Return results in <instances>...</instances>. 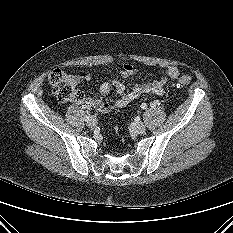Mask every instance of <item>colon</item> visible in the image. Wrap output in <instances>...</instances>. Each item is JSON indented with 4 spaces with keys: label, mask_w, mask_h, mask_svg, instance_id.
I'll list each match as a JSON object with an SVG mask.
<instances>
[{
    "label": "colon",
    "mask_w": 233,
    "mask_h": 233,
    "mask_svg": "<svg viewBox=\"0 0 233 233\" xmlns=\"http://www.w3.org/2000/svg\"><path fill=\"white\" fill-rule=\"evenodd\" d=\"M50 86L61 102L81 101L83 94L76 88L75 80L61 69L53 70L48 77ZM191 82L189 75H183L178 79V85L184 86Z\"/></svg>",
    "instance_id": "colon-1"
}]
</instances>
